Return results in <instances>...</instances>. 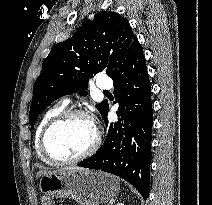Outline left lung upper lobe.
<instances>
[{"mask_svg": "<svg viewBox=\"0 0 212 205\" xmlns=\"http://www.w3.org/2000/svg\"><path fill=\"white\" fill-rule=\"evenodd\" d=\"M137 37L126 18L115 12H99L70 39L55 45L43 62L33 88L30 125L56 99L79 92L87 94L89 78L106 70L114 76ZM108 102L97 105L103 115Z\"/></svg>", "mask_w": 212, "mask_h": 205, "instance_id": "5c2ea615", "label": "left lung upper lobe"}]
</instances>
